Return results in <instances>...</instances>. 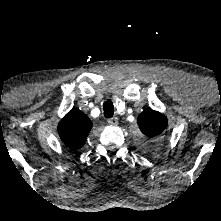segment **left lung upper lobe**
Masks as SVG:
<instances>
[{
    "label": "left lung upper lobe",
    "instance_id": "5c2ea615",
    "mask_svg": "<svg viewBox=\"0 0 221 221\" xmlns=\"http://www.w3.org/2000/svg\"><path fill=\"white\" fill-rule=\"evenodd\" d=\"M137 123L145 140L141 142L140 149L146 154L154 153L162 144L160 134L167 127V118L151 108H147L137 118Z\"/></svg>",
    "mask_w": 221,
    "mask_h": 221
}]
</instances>
